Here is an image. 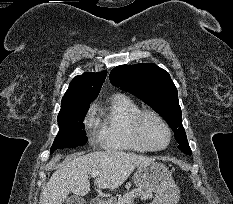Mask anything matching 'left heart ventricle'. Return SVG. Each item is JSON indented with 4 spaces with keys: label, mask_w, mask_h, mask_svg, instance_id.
I'll return each mask as SVG.
<instances>
[{
    "label": "left heart ventricle",
    "mask_w": 233,
    "mask_h": 204,
    "mask_svg": "<svg viewBox=\"0 0 233 204\" xmlns=\"http://www.w3.org/2000/svg\"><path fill=\"white\" fill-rule=\"evenodd\" d=\"M143 135L149 145L162 147L166 144L168 135L163 125L153 117H147L142 124Z\"/></svg>",
    "instance_id": "b2bd125f"
}]
</instances>
